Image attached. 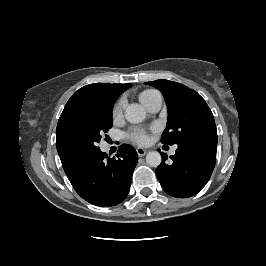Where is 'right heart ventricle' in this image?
I'll list each match as a JSON object with an SVG mask.
<instances>
[{
  "instance_id": "right-heart-ventricle-1",
  "label": "right heart ventricle",
  "mask_w": 266,
  "mask_h": 266,
  "mask_svg": "<svg viewBox=\"0 0 266 266\" xmlns=\"http://www.w3.org/2000/svg\"><path fill=\"white\" fill-rule=\"evenodd\" d=\"M157 95H159V93L155 90H151V89L145 90L140 93L139 100L145 107H147L149 102Z\"/></svg>"
}]
</instances>
